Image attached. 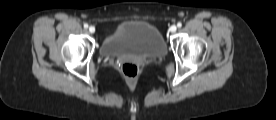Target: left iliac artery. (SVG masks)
<instances>
[{"instance_id": "left-iliac-artery-1", "label": "left iliac artery", "mask_w": 276, "mask_h": 120, "mask_svg": "<svg viewBox=\"0 0 276 120\" xmlns=\"http://www.w3.org/2000/svg\"><path fill=\"white\" fill-rule=\"evenodd\" d=\"M177 26H178V27H181V26H182V23H181V22H178V23H177Z\"/></svg>"}]
</instances>
